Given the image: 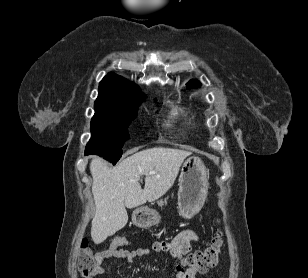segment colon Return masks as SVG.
I'll use <instances>...</instances> for the list:
<instances>
[{"label":"colon","mask_w":308,"mask_h":278,"mask_svg":"<svg viewBox=\"0 0 308 278\" xmlns=\"http://www.w3.org/2000/svg\"><path fill=\"white\" fill-rule=\"evenodd\" d=\"M123 236L115 237L111 243L107 244L108 250H118L126 244ZM222 237L217 234L212 243L202 249L185 255L183 265L186 269H191L196 273H204L217 265L222 248ZM102 259L100 253L92 251L88 247L86 239L82 240L79 258V272L84 278H96L101 269Z\"/></svg>","instance_id":"obj_1"}]
</instances>
